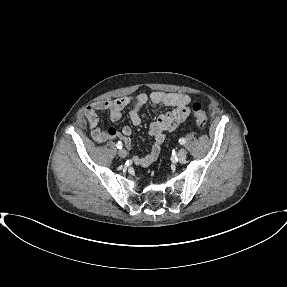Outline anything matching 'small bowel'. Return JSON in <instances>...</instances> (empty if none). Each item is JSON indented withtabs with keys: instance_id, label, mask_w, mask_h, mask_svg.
I'll list each match as a JSON object with an SVG mask.
<instances>
[{
	"instance_id": "c3829d8e",
	"label": "small bowel",
	"mask_w": 287,
	"mask_h": 287,
	"mask_svg": "<svg viewBox=\"0 0 287 287\" xmlns=\"http://www.w3.org/2000/svg\"><path fill=\"white\" fill-rule=\"evenodd\" d=\"M190 101V97L183 93L154 91L152 93H139L135 96L96 101L84 110V115L94 141L104 143L119 138L129 147L131 145L129 138L131 128L124 126L121 130L113 127L106 130L102 129L99 126L98 111L108 110L111 120L118 121L122 118L124 108L131 105L130 121L134 126H138L141 123L139 111L147 103L153 107H174L172 111L159 115L150 124L148 134L154 141L151 152L145 157L133 158L137 166L148 167L158 159L161 153V145L165 140V134L177 129L189 117L191 112Z\"/></svg>"
}]
</instances>
